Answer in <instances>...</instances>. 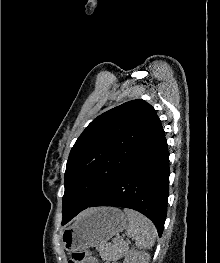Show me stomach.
I'll list each match as a JSON object with an SVG mask.
<instances>
[{
	"instance_id": "1",
	"label": "stomach",
	"mask_w": 220,
	"mask_h": 263,
	"mask_svg": "<svg viewBox=\"0 0 220 263\" xmlns=\"http://www.w3.org/2000/svg\"><path fill=\"white\" fill-rule=\"evenodd\" d=\"M127 227L124 213L113 207L93 208L82 213L61 234V242L67 252L88 247L104 246L110 238Z\"/></svg>"
}]
</instances>
